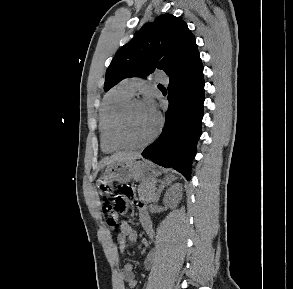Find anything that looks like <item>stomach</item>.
Wrapping results in <instances>:
<instances>
[{
	"label": "stomach",
	"mask_w": 293,
	"mask_h": 289,
	"mask_svg": "<svg viewBox=\"0 0 293 289\" xmlns=\"http://www.w3.org/2000/svg\"><path fill=\"white\" fill-rule=\"evenodd\" d=\"M160 174L161 172L150 161L116 162L107 167L104 175L98 180L97 187L102 195L110 196L113 192V182H150Z\"/></svg>",
	"instance_id": "1"
}]
</instances>
